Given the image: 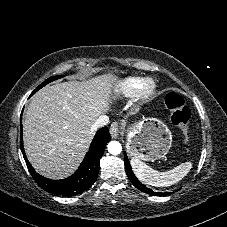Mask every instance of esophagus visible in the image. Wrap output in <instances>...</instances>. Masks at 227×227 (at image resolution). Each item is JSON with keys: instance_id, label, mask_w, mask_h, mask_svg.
<instances>
[{"instance_id": "obj_1", "label": "esophagus", "mask_w": 227, "mask_h": 227, "mask_svg": "<svg viewBox=\"0 0 227 227\" xmlns=\"http://www.w3.org/2000/svg\"><path fill=\"white\" fill-rule=\"evenodd\" d=\"M110 134L112 136V138H117L119 137L120 134V130H119V125L118 123H113L110 127Z\"/></svg>"}]
</instances>
